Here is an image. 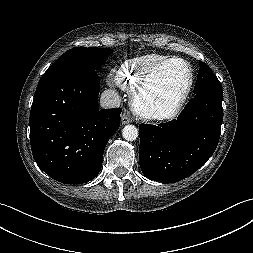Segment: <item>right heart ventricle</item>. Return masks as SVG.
<instances>
[{
    "mask_svg": "<svg viewBox=\"0 0 253 253\" xmlns=\"http://www.w3.org/2000/svg\"><path fill=\"white\" fill-rule=\"evenodd\" d=\"M169 58L162 54H145L126 60L114 74V82L122 89L133 93L145 73L156 63Z\"/></svg>",
    "mask_w": 253,
    "mask_h": 253,
    "instance_id": "e07e8e85",
    "label": "right heart ventricle"
}]
</instances>
